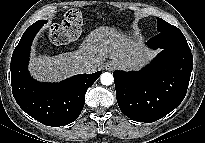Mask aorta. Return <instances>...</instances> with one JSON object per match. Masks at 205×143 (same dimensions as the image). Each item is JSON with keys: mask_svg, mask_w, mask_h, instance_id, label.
I'll use <instances>...</instances> for the list:
<instances>
[{"mask_svg": "<svg viewBox=\"0 0 205 143\" xmlns=\"http://www.w3.org/2000/svg\"><path fill=\"white\" fill-rule=\"evenodd\" d=\"M100 80L103 85L109 86L114 82V77L111 73L105 72L101 74Z\"/></svg>", "mask_w": 205, "mask_h": 143, "instance_id": "aorta-1", "label": "aorta"}]
</instances>
